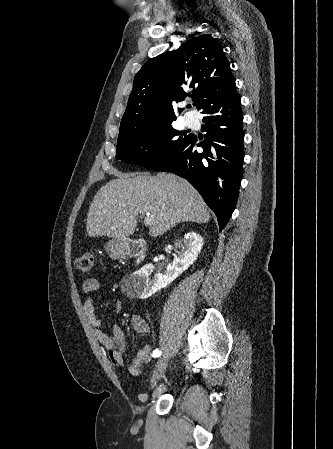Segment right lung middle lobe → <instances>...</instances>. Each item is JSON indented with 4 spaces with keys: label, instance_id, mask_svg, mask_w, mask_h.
<instances>
[{
    "label": "right lung middle lobe",
    "instance_id": "right-lung-middle-lobe-1",
    "mask_svg": "<svg viewBox=\"0 0 333 449\" xmlns=\"http://www.w3.org/2000/svg\"><path fill=\"white\" fill-rule=\"evenodd\" d=\"M172 121L118 140L116 158L152 169L163 163L191 136L175 130L171 125Z\"/></svg>",
    "mask_w": 333,
    "mask_h": 449
}]
</instances>
